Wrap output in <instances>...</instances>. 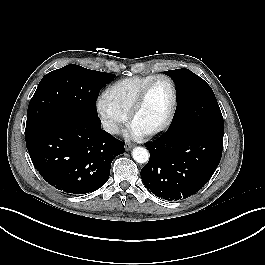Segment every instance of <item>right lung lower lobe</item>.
<instances>
[{"instance_id": "98d812e1", "label": "right lung lower lobe", "mask_w": 265, "mask_h": 265, "mask_svg": "<svg viewBox=\"0 0 265 265\" xmlns=\"http://www.w3.org/2000/svg\"><path fill=\"white\" fill-rule=\"evenodd\" d=\"M26 146L40 175L64 193L83 194L103 186L124 142L101 129L98 116L65 113L25 132Z\"/></svg>"}]
</instances>
